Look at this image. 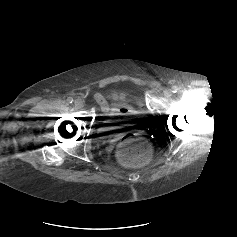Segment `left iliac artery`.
Segmentation results:
<instances>
[{"label": "left iliac artery", "mask_w": 237, "mask_h": 237, "mask_svg": "<svg viewBox=\"0 0 237 237\" xmlns=\"http://www.w3.org/2000/svg\"><path fill=\"white\" fill-rule=\"evenodd\" d=\"M172 91H173L174 93H177V92L179 91V87H178V86H173V87H172Z\"/></svg>", "instance_id": "obj_1"}]
</instances>
